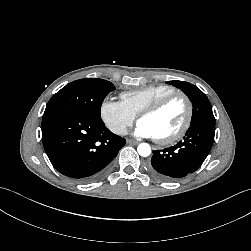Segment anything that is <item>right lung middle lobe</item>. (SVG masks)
I'll return each mask as SVG.
<instances>
[{
	"instance_id": "right-lung-middle-lobe-1",
	"label": "right lung middle lobe",
	"mask_w": 251,
	"mask_h": 251,
	"mask_svg": "<svg viewBox=\"0 0 251 251\" xmlns=\"http://www.w3.org/2000/svg\"><path fill=\"white\" fill-rule=\"evenodd\" d=\"M114 89L111 82L98 78L73 81L53 95L44 114L67 112L100 117L101 104Z\"/></svg>"
}]
</instances>
